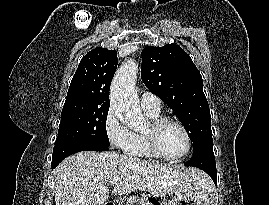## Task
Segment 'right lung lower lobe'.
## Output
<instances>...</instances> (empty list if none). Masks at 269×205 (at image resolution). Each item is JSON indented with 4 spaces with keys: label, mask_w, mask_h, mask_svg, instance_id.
I'll use <instances>...</instances> for the list:
<instances>
[{
    "label": "right lung lower lobe",
    "mask_w": 269,
    "mask_h": 205,
    "mask_svg": "<svg viewBox=\"0 0 269 205\" xmlns=\"http://www.w3.org/2000/svg\"><path fill=\"white\" fill-rule=\"evenodd\" d=\"M109 148L94 143L64 142L56 144L52 156V169L55 168L64 158L80 151H108Z\"/></svg>",
    "instance_id": "obj_1"
}]
</instances>
